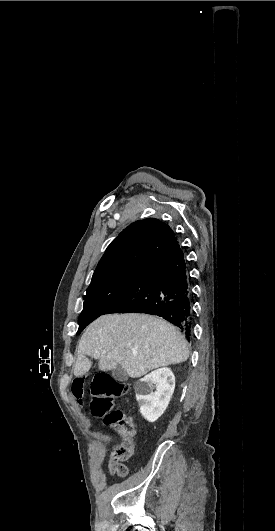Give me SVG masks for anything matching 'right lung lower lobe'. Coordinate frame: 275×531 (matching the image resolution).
<instances>
[{"instance_id": "right-lung-lower-lobe-1", "label": "right lung lower lobe", "mask_w": 275, "mask_h": 531, "mask_svg": "<svg viewBox=\"0 0 275 531\" xmlns=\"http://www.w3.org/2000/svg\"><path fill=\"white\" fill-rule=\"evenodd\" d=\"M131 312L162 317L179 327L189 340L193 323L190 281L176 237L104 314Z\"/></svg>"}]
</instances>
